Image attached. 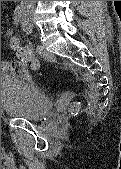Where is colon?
I'll list each match as a JSON object with an SVG mask.
<instances>
[{
  "instance_id": "5ec220e1",
  "label": "colon",
  "mask_w": 121,
  "mask_h": 169,
  "mask_svg": "<svg viewBox=\"0 0 121 169\" xmlns=\"http://www.w3.org/2000/svg\"><path fill=\"white\" fill-rule=\"evenodd\" d=\"M10 44L20 61L27 63L34 70L39 69V61L34 57L29 47L21 45L18 38H13Z\"/></svg>"
}]
</instances>
